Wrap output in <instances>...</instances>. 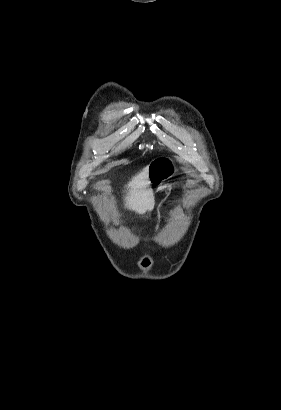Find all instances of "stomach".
<instances>
[{"label": "stomach", "instance_id": "1", "mask_svg": "<svg viewBox=\"0 0 281 410\" xmlns=\"http://www.w3.org/2000/svg\"><path fill=\"white\" fill-rule=\"evenodd\" d=\"M175 162L168 157L154 159L148 166L150 185L161 187L165 181L172 178L177 173Z\"/></svg>", "mask_w": 281, "mask_h": 410}]
</instances>
